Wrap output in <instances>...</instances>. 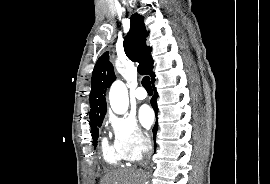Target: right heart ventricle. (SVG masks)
Returning a JSON list of instances; mask_svg holds the SVG:
<instances>
[{
    "label": "right heart ventricle",
    "instance_id": "right-heart-ventricle-1",
    "mask_svg": "<svg viewBox=\"0 0 270 184\" xmlns=\"http://www.w3.org/2000/svg\"><path fill=\"white\" fill-rule=\"evenodd\" d=\"M102 153L105 161L111 165H119L124 160L115 147L109 145L106 140L102 142Z\"/></svg>",
    "mask_w": 270,
    "mask_h": 184
}]
</instances>
